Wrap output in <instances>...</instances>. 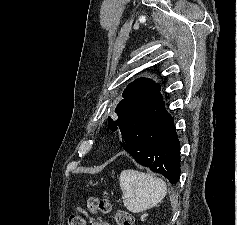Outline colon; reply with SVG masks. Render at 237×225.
<instances>
[{"label": "colon", "mask_w": 237, "mask_h": 225, "mask_svg": "<svg viewBox=\"0 0 237 225\" xmlns=\"http://www.w3.org/2000/svg\"><path fill=\"white\" fill-rule=\"evenodd\" d=\"M87 210L90 213L101 212L108 214L113 211L112 204L104 198L90 197L86 203ZM118 225H133V218L124 210H116L114 215ZM68 225H86L85 220L80 215H71L68 219Z\"/></svg>", "instance_id": "5ec220e1"}]
</instances>
